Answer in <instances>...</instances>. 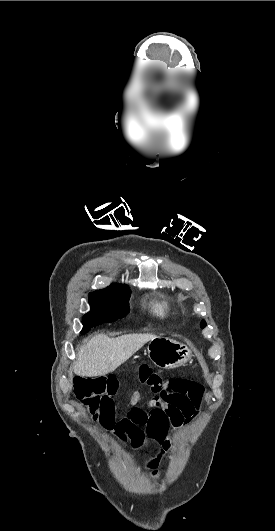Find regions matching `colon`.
Listing matches in <instances>:
<instances>
[{
    "mask_svg": "<svg viewBox=\"0 0 275 531\" xmlns=\"http://www.w3.org/2000/svg\"><path fill=\"white\" fill-rule=\"evenodd\" d=\"M73 387L76 390V397L81 402H87L89 409L85 412V419L89 423H96L100 419L101 407L99 397L103 396L105 380L100 375H93L90 378L86 375H79L73 380Z\"/></svg>",
    "mask_w": 275,
    "mask_h": 531,
    "instance_id": "obj_1",
    "label": "colon"
}]
</instances>
